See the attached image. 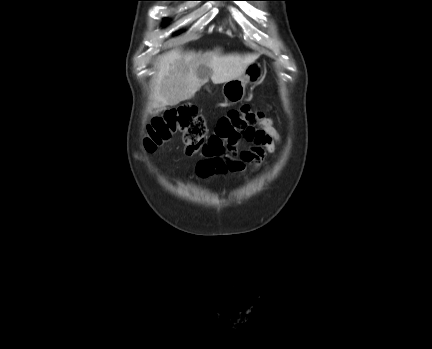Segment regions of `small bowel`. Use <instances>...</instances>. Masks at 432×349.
I'll use <instances>...</instances> for the list:
<instances>
[{
    "mask_svg": "<svg viewBox=\"0 0 432 349\" xmlns=\"http://www.w3.org/2000/svg\"><path fill=\"white\" fill-rule=\"evenodd\" d=\"M249 147L233 151L222 160V169L199 161L196 165L197 174L206 178L214 174H224L227 171L246 176L248 170L254 172L266 162L268 154L275 152L281 141L280 134L271 118H262L257 127H253L250 135L244 138Z\"/></svg>",
    "mask_w": 432,
    "mask_h": 349,
    "instance_id": "obj_1",
    "label": "small bowel"
}]
</instances>
